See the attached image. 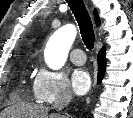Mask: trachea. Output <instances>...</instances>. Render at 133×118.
Wrapping results in <instances>:
<instances>
[{
    "label": "trachea",
    "instance_id": "obj_1",
    "mask_svg": "<svg viewBox=\"0 0 133 118\" xmlns=\"http://www.w3.org/2000/svg\"><path fill=\"white\" fill-rule=\"evenodd\" d=\"M67 2L78 22L84 44L89 50L93 49L95 35L90 16L84 2L82 0H67Z\"/></svg>",
    "mask_w": 133,
    "mask_h": 118
}]
</instances>
